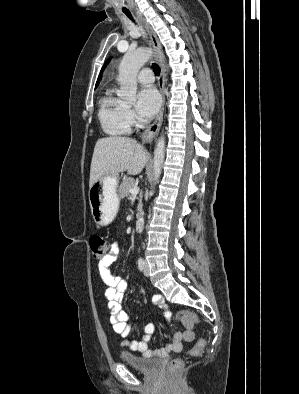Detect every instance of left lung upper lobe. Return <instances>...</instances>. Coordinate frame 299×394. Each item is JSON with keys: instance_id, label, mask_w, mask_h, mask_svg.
Masks as SVG:
<instances>
[{"instance_id": "1", "label": "left lung upper lobe", "mask_w": 299, "mask_h": 394, "mask_svg": "<svg viewBox=\"0 0 299 394\" xmlns=\"http://www.w3.org/2000/svg\"><path fill=\"white\" fill-rule=\"evenodd\" d=\"M110 59L107 60V62L105 63V65L103 66L102 70L105 68V66L109 63Z\"/></svg>"}]
</instances>
